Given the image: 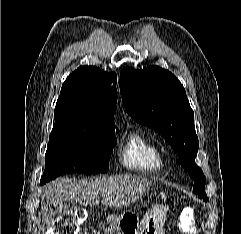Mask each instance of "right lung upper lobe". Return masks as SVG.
I'll return each mask as SVG.
<instances>
[{"instance_id": "obj_1", "label": "right lung upper lobe", "mask_w": 241, "mask_h": 234, "mask_svg": "<svg viewBox=\"0 0 241 234\" xmlns=\"http://www.w3.org/2000/svg\"><path fill=\"white\" fill-rule=\"evenodd\" d=\"M116 82L114 72L82 66L63 83L54 113L69 114L84 126L115 127L117 91L110 84Z\"/></svg>"}]
</instances>
